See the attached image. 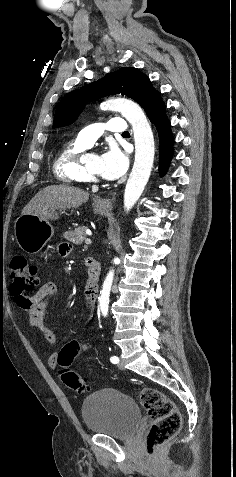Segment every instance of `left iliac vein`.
<instances>
[{
	"mask_svg": "<svg viewBox=\"0 0 236 477\" xmlns=\"http://www.w3.org/2000/svg\"><path fill=\"white\" fill-rule=\"evenodd\" d=\"M118 367H119V369L124 370V364H123L122 361H120V362L118 363Z\"/></svg>",
	"mask_w": 236,
	"mask_h": 477,
	"instance_id": "1",
	"label": "left iliac vein"
}]
</instances>
